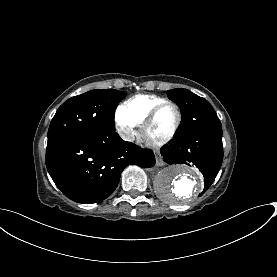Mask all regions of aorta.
Here are the masks:
<instances>
[{"instance_id":"762f6f07","label":"aorta","mask_w":277,"mask_h":277,"mask_svg":"<svg viewBox=\"0 0 277 277\" xmlns=\"http://www.w3.org/2000/svg\"><path fill=\"white\" fill-rule=\"evenodd\" d=\"M160 198L170 204L185 203L203 190V179L198 171L185 165L162 169L155 178Z\"/></svg>"}]
</instances>
